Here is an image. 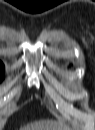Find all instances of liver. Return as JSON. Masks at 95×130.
I'll return each mask as SVG.
<instances>
[{
	"instance_id": "1",
	"label": "liver",
	"mask_w": 95,
	"mask_h": 130,
	"mask_svg": "<svg viewBox=\"0 0 95 130\" xmlns=\"http://www.w3.org/2000/svg\"><path fill=\"white\" fill-rule=\"evenodd\" d=\"M47 126H40V125H32L30 127L27 128H31V129H27V130H52V122L51 121H46Z\"/></svg>"
}]
</instances>
